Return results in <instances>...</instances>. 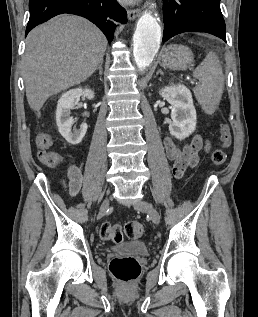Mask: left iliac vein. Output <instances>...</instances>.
<instances>
[{"label": "left iliac vein", "instance_id": "4c4485c4", "mask_svg": "<svg viewBox=\"0 0 258 317\" xmlns=\"http://www.w3.org/2000/svg\"><path fill=\"white\" fill-rule=\"evenodd\" d=\"M133 208H135L137 211L148 213L150 212L152 223L158 224L160 221V214L158 213L156 208H152V203L148 202L147 200H141L137 201V203H133Z\"/></svg>", "mask_w": 258, "mask_h": 317}]
</instances>
